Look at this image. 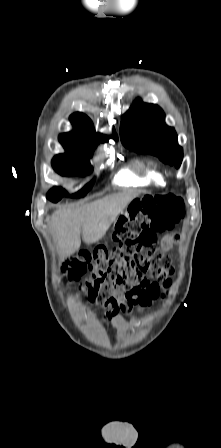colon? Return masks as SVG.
Listing matches in <instances>:
<instances>
[{"label": "colon", "instance_id": "5ec220e1", "mask_svg": "<svg viewBox=\"0 0 221 448\" xmlns=\"http://www.w3.org/2000/svg\"><path fill=\"white\" fill-rule=\"evenodd\" d=\"M185 214L184 202L174 195H148L130 208V217L117 222L119 247L80 251L64 265L71 280L89 272L84 289L93 300L100 291L123 292L132 305L147 307L169 287L175 276L171 261L160 250L157 233L172 228Z\"/></svg>", "mask_w": 221, "mask_h": 448}]
</instances>
